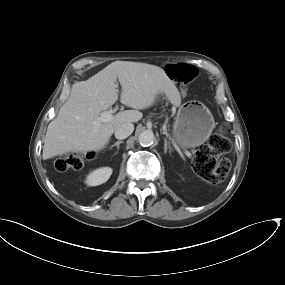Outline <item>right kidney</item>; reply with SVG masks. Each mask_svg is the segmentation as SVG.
<instances>
[{
  "instance_id": "obj_1",
  "label": "right kidney",
  "mask_w": 285,
  "mask_h": 285,
  "mask_svg": "<svg viewBox=\"0 0 285 285\" xmlns=\"http://www.w3.org/2000/svg\"><path fill=\"white\" fill-rule=\"evenodd\" d=\"M112 169L110 167H103L91 172L87 178L86 183L89 186H97L105 183L111 176Z\"/></svg>"
}]
</instances>
